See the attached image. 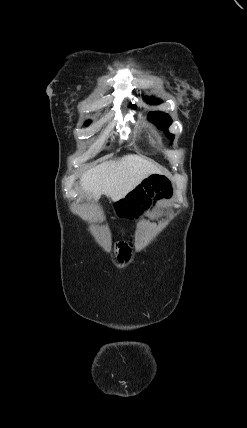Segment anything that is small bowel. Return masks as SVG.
I'll return each instance as SVG.
<instances>
[{
    "mask_svg": "<svg viewBox=\"0 0 247 428\" xmlns=\"http://www.w3.org/2000/svg\"><path fill=\"white\" fill-rule=\"evenodd\" d=\"M123 258L127 259L129 257V251L126 249L124 252H122Z\"/></svg>",
    "mask_w": 247,
    "mask_h": 428,
    "instance_id": "c3829d8e",
    "label": "small bowel"
}]
</instances>
